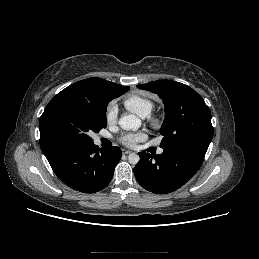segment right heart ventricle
Segmentation results:
<instances>
[{"mask_svg": "<svg viewBox=\"0 0 259 259\" xmlns=\"http://www.w3.org/2000/svg\"><path fill=\"white\" fill-rule=\"evenodd\" d=\"M124 104L128 110L142 117L148 115L153 108V102L150 98L138 94L127 97Z\"/></svg>", "mask_w": 259, "mask_h": 259, "instance_id": "obj_1", "label": "right heart ventricle"}]
</instances>
